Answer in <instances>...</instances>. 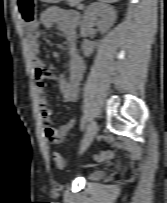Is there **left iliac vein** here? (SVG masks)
I'll use <instances>...</instances> for the list:
<instances>
[{
    "mask_svg": "<svg viewBox=\"0 0 167 203\" xmlns=\"http://www.w3.org/2000/svg\"><path fill=\"white\" fill-rule=\"evenodd\" d=\"M97 130H98V124H97V122L96 121H92L88 125L87 130L85 132V135L83 137V140L81 142L80 153L85 151L88 148V146L91 144V142L93 141L94 137L97 134Z\"/></svg>",
    "mask_w": 167,
    "mask_h": 203,
    "instance_id": "1",
    "label": "left iliac vein"
}]
</instances>
